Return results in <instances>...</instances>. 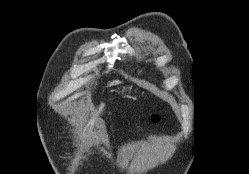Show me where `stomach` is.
I'll use <instances>...</instances> for the list:
<instances>
[{
  "instance_id": "stomach-1",
  "label": "stomach",
  "mask_w": 249,
  "mask_h": 174,
  "mask_svg": "<svg viewBox=\"0 0 249 174\" xmlns=\"http://www.w3.org/2000/svg\"><path fill=\"white\" fill-rule=\"evenodd\" d=\"M128 90H131V87H123L120 91H119V93H126Z\"/></svg>"
}]
</instances>
